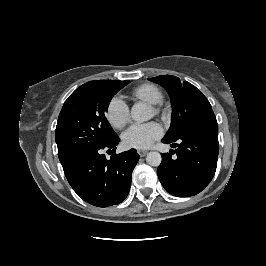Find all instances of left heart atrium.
Segmentation results:
<instances>
[{"label": "left heart atrium", "instance_id": "obj_1", "mask_svg": "<svg viewBox=\"0 0 266 266\" xmlns=\"http://www.w3.org/2000/svg\"><path fill=\"white\" fill-rule=\"evenodd\" d=\"M163 135L159 123L152 121L143 124H133L122 135L123 145L127 148L146 149Z\"/></svg>", "mask_w": 266, "mask_h": 266}]
</instances>
